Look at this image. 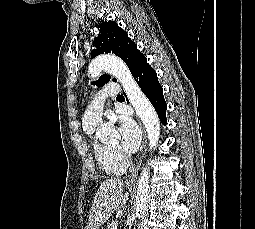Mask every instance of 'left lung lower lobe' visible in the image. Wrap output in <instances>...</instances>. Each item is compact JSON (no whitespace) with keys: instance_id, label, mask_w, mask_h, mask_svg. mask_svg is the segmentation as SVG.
Wrapping results in <instances>:
<instances>
[{"instance_id":"0a47b994","label":"left lung lower lobe","mask_w":255,"mask_h":229,"mask_svg":"<svg viewBox=\"0 0 255 229\" xmlns=\"http://www.w3.org/2000/svg\"><path fill=\"white\" fill-rule=\"evenodd\" d=\"M132 75L134 76V79L136 80L141 90L152 103L160 121L166 125L167 105L163 97V89L158 81L156 72L147 63V59L144 55L138 61L132 72Z\"/></svg>"}]
</instances>
